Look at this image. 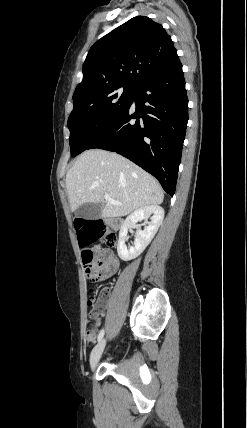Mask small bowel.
<instances>
[{
  "instance_id": "obj_1",
  "label": "small bowel",
  "mask_w": 247,
  "mask_h": 428,
  "mask_svg": "<svg viewBox=\"0 0 247 428\" xmlns=\"http://www.w3.org/2000/svg\"><path fill=\"white\" fill-rule=\"evenodd\" d=\"M101 256L104 258V265L101 268V270L98 271L97 273V280L107 279L108 277L112 276L119 268V260L111 250H108V249L102 250ZM105 304H106V298L102 297L99 303V311L95 316L102 313L105 307ZM99 324H100V320L97 319L96 327H98ZM96 335H97V329H94V331L91 334H86L85 338L88 342L93 343L96 339Z\"/></svg>"
}]
</instances>
